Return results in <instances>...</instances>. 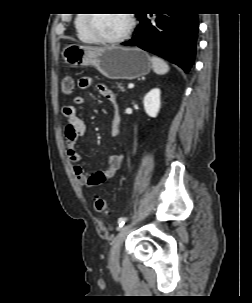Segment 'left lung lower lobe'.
Returning <instances> with one entry per match:
<instances>
[{
  "label": "left lung lower lobe",
  "instance_id": "left-lung-lower-lobe-1",
  "mask_svg": "<svg viewBox=\"0 0 252 303\" xmlns=\"http://www.w3.org/2000/svg\"><path fill=\"white\" fill-rule=\"evenodd\" d=\"M139 14V26L125 46H136L152 52L188 73L194 63L198 33V16L182 14Z\"/></svg>",
  "mask_w": 252,
  "mask_h": 303
}]
</instances>
